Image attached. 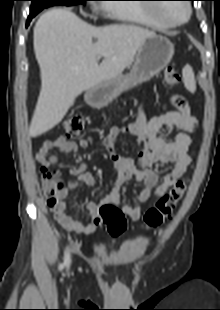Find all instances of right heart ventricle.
I'll return each mask as SVG.
<instances>
[{
    "instance_id": "e07e8e85",
    "label": "right heart ventricle",
    "mask_w": 220,
    "mask_h": 310,
    "mask_svg": "<svg viewBox=\"0 0 220 310\" xmlns=\"http://www.w3.org/2000/svg\"><path fill=\"white\" fill-rule=\"evenodd\" d=\"M108 10L111 15L124 22L159 30L170 28V26L156 19L151 14L150 8L143 6L110 5Z\"/></svg>"
}]
</instances>
